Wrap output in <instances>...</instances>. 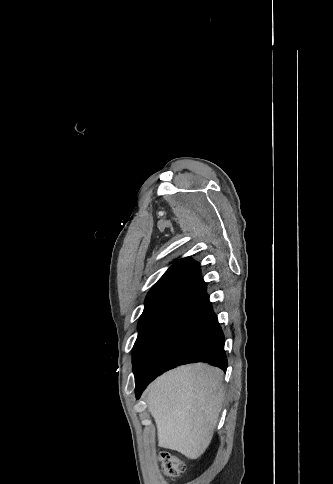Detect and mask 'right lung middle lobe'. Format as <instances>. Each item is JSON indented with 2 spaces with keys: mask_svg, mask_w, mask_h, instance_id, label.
Here are the masks:
<instances>
[{
  "mask_svg": "<svg viewBox=\"0 0 333 484\" xmlns=\"http://www.w3.org/2000/svg\"><path fill=\"white\" fill-rule=\"evenodd\" d=\"M158 305V303H150V304H146L145 305V308H144V311L139 319V322H138V337H137V340L135 342V345H134V349H133V367L134 369L136 368L140 358H141V355H142V347H143V343H144V340H145V336H146V332H147V328H148V325H149V322H150V319L153 315V312L156 308V306Z\"/></svg>",
  "mask_w": 333,
  "mask_h": 484,
  "instance_id": "obj_1",
  "label": "right lung middle lobe"
}]
</instances>
